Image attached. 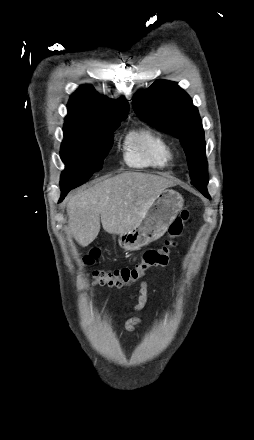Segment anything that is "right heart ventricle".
Returning <instances> with one entry per match:
<instances>
[{
  "instance_id": "1",
  "label": "right heart ventricle",
  "mask_w": 254,
  "mask_h": 440,
  "mask_svg": "<svg viewBox=\"0 0 254 440\" xmlns=\"http://www.w3.org/2000/svg\"><path fill=\"white\" fill-rule=\"evenodd\" d=\"M174 158L171 143L155 130L144 127L130 131L124 141V160L135 168L164 169Z\"/></svg>"
}]
</instances>
